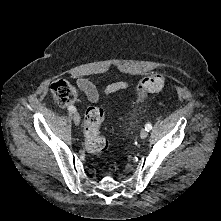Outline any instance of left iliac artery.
Returning a JSON list of instances; mask_svg holds the SVG:
<instances>
[{"label": "left iliac artery", "instance_id": "obj_1", "mask_svg": "<svg viewBox=\"0 0 221 221\" xmlns=\"http://www.w3.org/2000/svg\"><path fill=\"white\" fill-rule=\"evenodd\" d=\"M151 129H152L151 123H147L145 126V130H147L149 132Z\"/></svg>", "mask_w": 221, "mask_h": 221}]
</instances>
